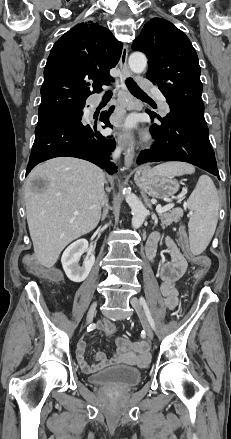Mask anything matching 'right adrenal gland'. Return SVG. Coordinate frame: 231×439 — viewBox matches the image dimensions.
Here are the masks:
<instances>
[{
    "mask_svg": "<svg viewBox=\"0 0 231 439\" xmlns=\"http://www.w3.org/2000/svg\"><path fill=\"white\" fill-rule=\"evenodd\" d=\"M108 208H109L108 199L106 198V200H105V209L103 210V214H102V217H101L102 221L106 218V216L108 214Z\"/></svg>",
    "mask_w": 231,
    "mask_h": 439,
    "instance_id": "2a0ac1e0",
    "label": "right adrenal gland"
}]
</instances>
